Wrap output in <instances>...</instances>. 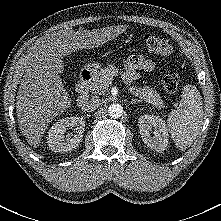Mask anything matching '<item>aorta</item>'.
Listing matches in <instances>:
<instances>
[{
	"mask_svg": "<svg viewBox=\"0 0 221 221\" xmlns=\"http://www.w3.org/2000/svg\"><path fill=\"white\" fill-rule=\"evenodd\" d=\"M109 116L119 118L123 114V107L118 103H113L108 108Z\"/></svg>",
	"mask_w": 221,
	"mask_h": 221,
	"instance_id": "762f6f07",
	"label": "aorta"
}]
</instances>
